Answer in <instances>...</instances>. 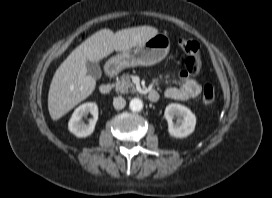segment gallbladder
Segmentation results:
<instances>
[{
  "mask_svg": "<svg viewBox=\"0 0 272 198\" xmlns=\"http://www.w3.org/2000/svg\"><path fill=\"white\" fill-rule=\"evenodd\" d=\"M87 73L94 79H100L102 72L100 66L96 62L87 61L86 62Z\"/></svg>",
  "mask_w": 272,
  "mask_h": 198,
  "instance_id": "obj_1",
  "label": "gallbladder"
}]
</instances>
